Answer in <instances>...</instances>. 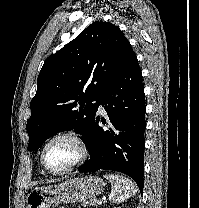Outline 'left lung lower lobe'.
<instances>
[{
    "instance_id": "obj_1",
    "label": "left lung lower lobe",
    "mask_w": 199,
    "mask_h": 208,
    "mask_svg": "<svg viewBox=\"0 0 199 208\" xmlns=\"http://www.w3.org/2000/svg\"><path fill=\"white\" fill-rule=\"evenodd\" d=\"M99 105L104 107L110 123L108 129H103L98 125L100 118H94L84 142L90 159L78 171L104 169L125 173L136 181L142 193L146 107L142 73L136 55L101 92L96 111Z\"/></svg>"
}]
</instances>
